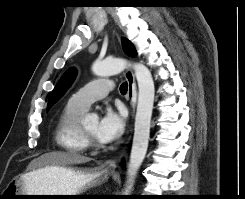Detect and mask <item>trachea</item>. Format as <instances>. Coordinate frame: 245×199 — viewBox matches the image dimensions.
<instances>
[{
  "mask_svg": "<svg viewBox=\"0 0 245 199\" xmlns=\"http://www.w3.org/2000/svg\"><path fill=\"white\" fill-rule=\"evenodd\" d=\"M127 89H128V84L127 83H123L121 86H120V92L122 95H125L126 92H127Z\"/></svg>",
  "mask_w": 245,
  "mask_h": 199,
  "instance_id": "trachea-1",
  "label": "trachea"
}]
</instances>
